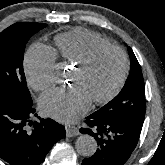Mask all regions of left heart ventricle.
Wrapping results in <instances>:
<instances>
[{
  "label": "left heart ventricle",
  "mask_w": 165,
  "mask_h": 165,
  "mask_svg": "<svg viewBox=\"0 0 165 165\" xmlns=\"http://www.w3.org/2000/svg\"><path fill=\"white\" fill-rule=\"evenodd\" d=\"M122 70V58L112 50L100 52L84 70L74 69L71 84L92 101L106 95L116 84Z\"/></svg>",
  "instance_id": "1"
}]
</instances>
